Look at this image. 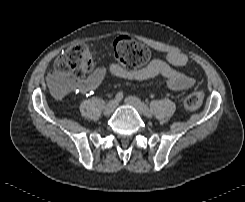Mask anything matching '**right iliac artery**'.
I'll list each match as a JSON object with an SVG mask.
<instances>
[{"label":"right iliac artery","mask_w":245,"mask_h":202,"mask_svg":"<svg viewBox=\"0 0 245 202\" xmlns=\"http://www.w3.org/2000/svg\"><path fill=\"white\" fill-rule=\"evenodd\" d=\"M116 101H121L123 99V92L119 91L115 96Z\"/></svg>","instance_id":"obj_1"}]
</instances>
